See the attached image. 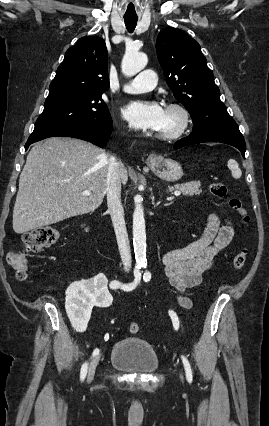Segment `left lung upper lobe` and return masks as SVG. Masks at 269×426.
I'll list each match as a JSON object with an SVG mask.
<instances>
[{
	"label": "left lung upper lobe",
	"mask_w": 269,
	"mask_h": 426,
	"mask_svg": "<svg viewBox=\"0 0 269 426\" xmlns=\"http://www.w3.org/2000/svg\"><path fill=\"white\" fill-rule=\"evenodd\" d=\"M156 51L169 88L193 122L210 112L227 111L198 42L180 29L167 27L157 37Z\"/></svg>",
	"instance_id": "1"
}]
</instances>
